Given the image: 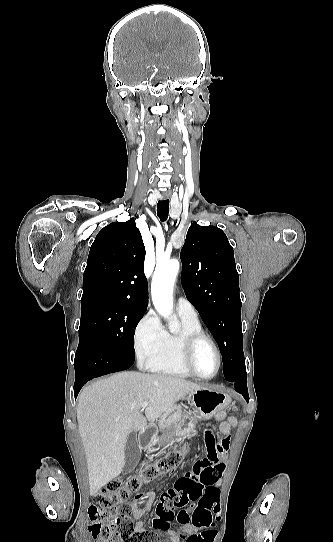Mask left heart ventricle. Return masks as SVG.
<instances>
[{
    "label": "left heart ventricle",
    "mask_w": 333,
    "mask_h": 542,
    "mask_svg": "<svg viewBox=\"0 0 333 542\" xmlns=\"http://www.w3.org/2000/svg\"><path fill=\"white\" fill-rule=\"evenodd\" d=\"M193 367L203 376H211L217 368L215 352L208 342L200 343L193 355Z\"/></svg>",
    "instance_id": "left-heart-ventricle-1"
}]
</instances>
